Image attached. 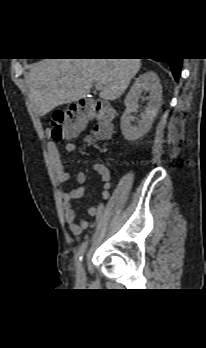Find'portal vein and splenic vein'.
Instances as JSON below:
<instances>
[{"label": "portal vein and splenic vein", "mask_w": 206, "mask_h": 348, "mask_svg": "<svg viewBox=\"0 0 206 348\" xmlns=\"http://www.w3.org/2000/svg\"><path fill=\"white\" fill-rule=\"evenodd\" d=\"M96 88H97V89L102 88V84H101L100 82H96Z\"/></svg>", "instance_id": "18ae733b"}]
</instances>
